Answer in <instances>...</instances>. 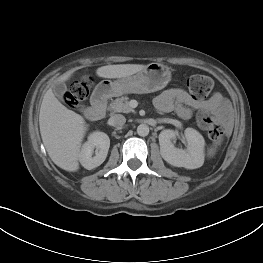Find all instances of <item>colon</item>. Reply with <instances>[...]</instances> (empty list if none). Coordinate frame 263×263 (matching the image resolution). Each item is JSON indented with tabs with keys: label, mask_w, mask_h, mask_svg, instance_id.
<instances>
[{
	"label": "colon",
	"mask_w": 263,
	"mask_h": 263,
	"mask_svg": "<svg viewBox=\"0 0 263 263\" xmlns=\"http://www.w3.org/2000/svg\"><path fill=\"white\" fill-rule=\"evenodd\" d=\"M187 87L192 96L197 99L206 98L213 88V81L205 75H192L187 80ZM90 90L89 79H82L73 83L65 95V102L70 107H76L84 101ZM197 123L201 129L207 132L209 138L216 144L223 141L224 134L222 127L216 119L206 113H202L197 118Z\"/></svg>",
	"instance_id": "obj_1"
}]
</instances>
